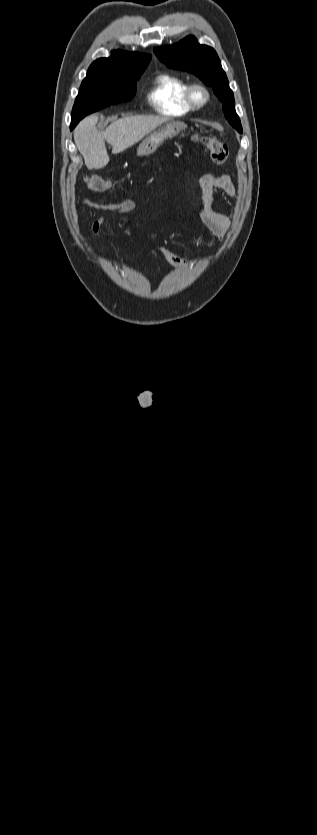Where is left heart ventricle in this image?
<instances>
[{"mask_svg":"<svg viewBox=\"0 0 317 835\" xmlns=\"http://www.w3.org/2000/svg\"><path fill=\"white\" fill-rule=\"evenodd\" d=\"M197 96H198L199 98H201V97H202V95H201L200 93H198V94H197Z\"/></svg>","mask_w":317,"mask_h":835,"instance_id":"left-heart-ventricle-1","label":"left heart ventricle"}]
</instances>
